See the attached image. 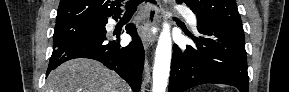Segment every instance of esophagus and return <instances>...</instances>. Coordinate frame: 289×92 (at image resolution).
<instances>
[{
	"instance_id": "obj_1",
	"label": "esophagus",
	"mask_w": 289,
	"mask_h": 92,
	"mask_svg": "<svg viewBox=\"0 0 289 92\" xmlns=\"http://www.w3.org/2000/svg\"><path fill=\"white\" fill-rule=\"evenodd\" d=\"M145 9H146V19L139 29V35L143 43V46L145 48H148L149 46L153 45L156 40V37L151 32V30L159 22V13L157 7L149 3L145 4Z\"/></svg>"
}]
</instances>
